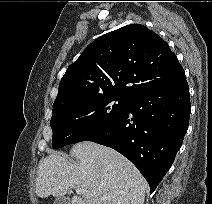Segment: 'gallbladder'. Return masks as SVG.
<instances>
[{
	"label": "gallbladder",
	"instance_id": "bac80fb5",
	"mask_svg": "<svg viewBox=\"0 0 212 204\" xmlns=\"http://www.w3.org/2000/svg\"><path fill=\"white\" fill-rule=\"evenodd\" d=\"M53 204H71L70 203V199L67 197H56L54 199V203Z\"/></svg>",
	"mask_w": 212,
	"mask_h": 204
}]
</instances>
